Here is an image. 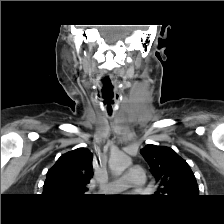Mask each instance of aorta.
Segmentation results:
<instances>
[{"label": "aorta", "instance_id": "aorta-1", "mask_svg": "<svg viewBox=\"0 0 224 224\" xmlns=\"http://www.w3.org/2000/svg\"><path fill=\"white\" fill-rule=\"evenodd\" d=\"M131 163L132 161L130 157L119 153L111 156L109 160V168L114 176H120Z\"/></svg>", "mask_w": 224, "mask_h": 224}]
</instances>
